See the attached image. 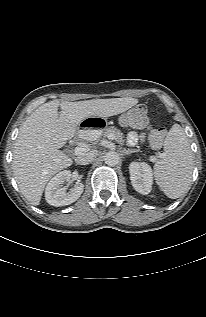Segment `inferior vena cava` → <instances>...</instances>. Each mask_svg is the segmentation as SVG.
I'll return each mask as SVG.
<instances>
[{"mask_svg":"<svg viewBox=\"0 0 206 317\" xmlns=\"http://www.w3.org/2000/svg\"><path fill=\"white\" fill-rule=\"evenodd\" d=\"M96 157L95 151H90L87 153H82L78 157H76L75 162L79 165H87L91 163Z\"/></svg>","mask_w":206,"mask_h":317,"instance_id":"obj_1","label":"inferior vena cava"}]
</instances>
